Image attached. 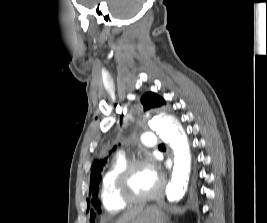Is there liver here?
Listing matches in <instances>:
<instances>
[{
  "label": "liver",
  "instance_id": "1",
  "mask_svg": "<svg viewBox=\"0 0 267 223\" xmlns=\"http://www.w3.org/2000/svg\"><path fill=\"white\" fill-rule=\"evenodd\" d=\"M144 206H138L125 212L116 223H127L135 218L142 210Z\"/></svg>",
  "mask_w": 267,
  "mask_h": 223
}]
</instances>
